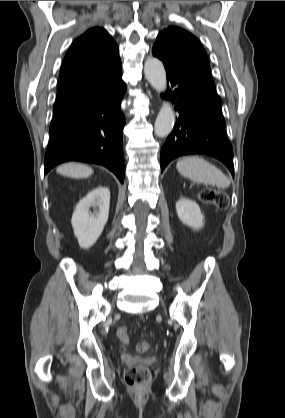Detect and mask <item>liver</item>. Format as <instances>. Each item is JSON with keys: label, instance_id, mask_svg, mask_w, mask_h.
Instances as JSON below:
<instances>
[{"label": "liver", "instance_id": "1", "mask_svg": "<svg viewBox=\"0 0 285 418\" xmlns=\"http://www.w3.org/2000/svg\"><path fill=\"white\" fill-rule=\"evenodd\" d=\"M57 173L70 178H87L93 174L91 167L78 163H67L57 168Z\"/></svg>", "mask_w": 285, "mask_h": 418}]
</instances>
